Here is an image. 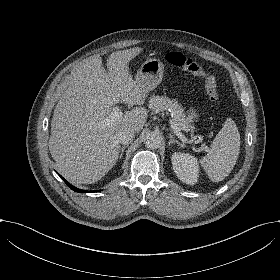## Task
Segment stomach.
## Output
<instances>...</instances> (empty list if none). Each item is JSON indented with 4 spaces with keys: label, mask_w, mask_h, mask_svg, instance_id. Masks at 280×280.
Wrapping results in <instances>:
<instances>
[{
    "label": "stomach",
    "mask_w": 280,
    "mask_h": 280,
    "mask_svg": "<svg viewBox=\"0 0 280 280\" xmlns=\"http://www.w3.org/2000/svg\"><path fill=\"white\" fill-rule=\"evenodd\" d=\"M164 65L158 59H148L142 63L136 76L135 82L141 86L145 93L155 89L162 81ZM199 115L194 108H190L188 118L193 122ZM190 122V124H191Z\"/></svg>",
    "instance_id": "obj_1"
}]
</instances>
